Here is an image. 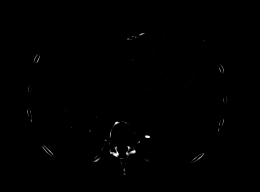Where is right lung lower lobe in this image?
Returning <instances> with one entry per match:
<instances>
[{
    "label": "right lung lower lobe",
    "instance_id": "obj_1",
    "mask_svg": "<svg viewBox=\"0 0 260 192\" xmlns=\"http://www.w3.org/2000/svg\"><path fill=\"white\" fill-rule=\"evenodd\" d=\"M125 108L124 102L107 91L102 76L87 80L78 73L64 74L48 87L34 86L31 93V112L38 137L56 155L70 161L92 158L110 122L122 115ZM61 111L62 118L58 116ZM67 127L78 133L74 141L67 138L64 132ZM82 137L91 140L90 149L81 146Z\"/></svg>",
    "mask_w": 260,
    "mask_h": 192
}]
</instances>
